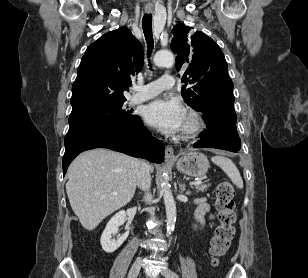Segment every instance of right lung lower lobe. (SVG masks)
I'll list each match as a JSON object with an SVG mask.
<instances>
[{"mask_svg":"<svg viewBox=\"0 0 308 278\" xmlns=\"http://www.w3.org/2000/svg\"><path fill=\"white\" fill-rule=\"evenodd\" d=\"M101 147L155 163L164 160L163 143L150 135L140 118L134 123L79 122L71 124L65 136L63 175L79 153Z\"/></svg>","mask_w":308,"mask_h":278,"instance_id":"obj_1","label":"right lung lower lobe"}]
</instances>
